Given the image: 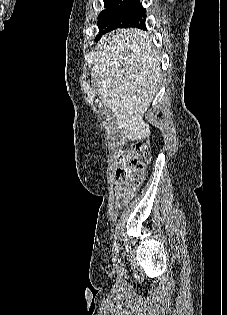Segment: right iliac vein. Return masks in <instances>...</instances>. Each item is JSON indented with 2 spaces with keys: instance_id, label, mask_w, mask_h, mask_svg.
Segmentation results:
<instances>
[{
  "instance_id": "1",
  "label": "right iliac vein",
  "mask_w": 227,
  "mask_h": 315,
  "mask_svg": "<svg viewBox=\"0 0 227 315\" xmlns=\"http://www.w3.org/2000/svg\"><path fill=\"white\" fill-rule=\"evenodd\" d=\"M119 263H120V260H119V258L117 257V255H115V256L113 257V265H114V267L117 268V267L119 266Z\"/></svg>"
}]
</instances>
